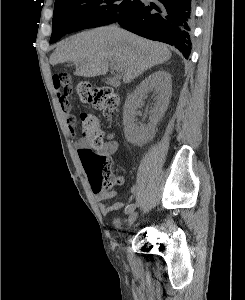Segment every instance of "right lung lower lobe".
<instances>
[{"instance_id":"right-lung-lower-lobe-1","label":"right lung lower lobe","mask_w":245,"mask_h":300,"mask_svg":"<svg viewBox=\"0 0 245 300\" xmlns=\"http://www.w3.org/2000/svg\"><path fill=\"white\" fill-rule=\"evenodd\" d=\"M193 0H142L128 15L116 23L142 37L175 46L185 58L191 53ZM55 27L60 36L79 30L77 24L59 20Z\"/></svg>"}]
</instances>
